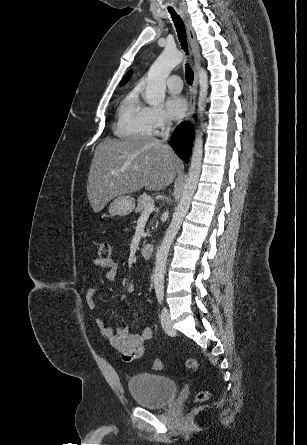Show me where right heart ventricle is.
Instances as JSON below:
<instances>
[{"label":"right heart ventricle","mask_w":307,"mask_h":445,"mask_svg":"<svg viewBox=\"0 0 307 445\" xmlns=\"http://www.w3.org/2000/svg\"><path fill=\"white\" fill-rule=\"evenodd\" d=\"M147 99L139 86H132L127 89L121 100L117 123L114 133L119 137L136 134H146L148 132L144 123V114L147 108ZM140 140H145L140 138Z\"/></svg>","instance_id":"obj_1"}]
</instances>
